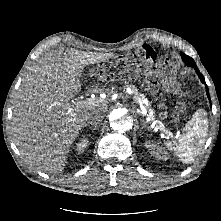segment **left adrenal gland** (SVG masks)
Returning a JSON list of instances; mask_svg holds the SVG:
<instances>
[{
  "mask_svg": "<svg viewBox=\"0 0 221 221\" xmlns=\"http://www.w3.org/2000/svg\"><path fill=\"white\" fill-rule=\"evenodd\" d=\"M143 128H146V126H142V129H143Z\"/></svg>",
  "mask_w": 221,
  "mask_h": 221,
  "instance_id": "left-adrenal-gland-1",
  "label": "left adrenal gland"
}]
</instances>
